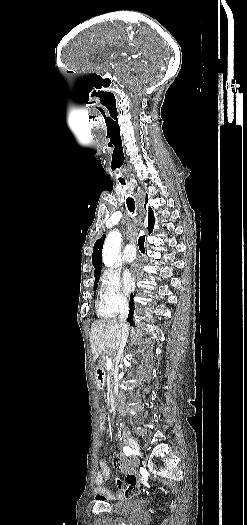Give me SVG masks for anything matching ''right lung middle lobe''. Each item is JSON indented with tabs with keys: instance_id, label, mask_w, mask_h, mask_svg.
Here are the masks:
<instances>
[{
	"instance_id": "1",
	"label": "right lung middle lobe",
	"mask_w": 247,
	"mask_h": 525,
	"mask_svg": "<svg viewBox=\"0 0 247 525\" xmlns=\"http://www.w3.org/2000/svg\"><path fill=\"white\" fill-rule=\"evenodd\" d=\"M99 280V276H95V284H94V289H96V286H97V282Z\"/></svg>"
}]
</instances>
